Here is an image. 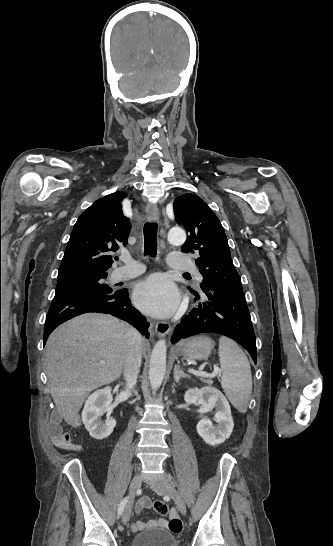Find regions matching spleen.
Returning <instances> with one entry per match:
<instances>
[{
    "mask_svg": "<svg viewBox=\"0 0 333 546\" xmlns=\"http://www.w3.org/2000/svg\"><path fill=\"white\" fill-rule=\"evenodd\" d=\"M219 358L221 386L233 406L241 413L247 411L252 392V375L248 358L231 339L220 337Z\"/></svg>",
    "mask_w": 333,
    "mask_h": 546,
    "instance_id": "3e777b00",
    "label": "spleen"
}]
</instances>
